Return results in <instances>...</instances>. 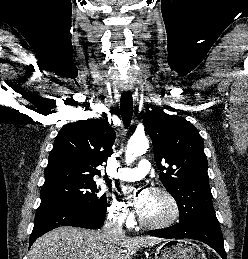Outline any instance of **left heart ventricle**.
<instances>
[{
  "label": "left heart ventricle",
  "instance_id": "obj_1",
  "mask_svg": "<svg viewBox=\"0 0 248 259\" xmlns=\"http://www.w3.org/2000/svg\"><path fill=\"white\" fill-rule=\"evenodd\" d=\"M171 212L169 202L161 195L151 193L146 210L141 215L149 222H157L166 219Z\"/></svg>",
  "mask_w": 248,
  "mask_h": 259
}]
</instances>
